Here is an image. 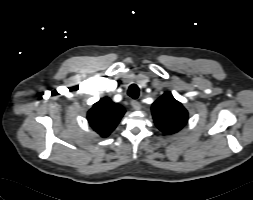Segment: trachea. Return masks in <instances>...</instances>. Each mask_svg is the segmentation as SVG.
<instances>
[{
	"label": "trachea",
	"mask_w": 253,
	"mask_h": 200,
	"mask_svg": "<svg viewBox=\"0 0 253 200\" xmlns=\"http://www.w3.org/2000/svg\"><path fill=\"white\" fill-rule=\"evenodd\" d=\"M128 95L133 98V99H137L139 96V88L136 84H132L129 86L128 89Z\"/></svg>",
	"instance_id": "3493384b"
}]
</instances>
